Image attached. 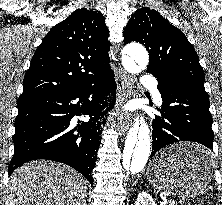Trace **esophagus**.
Segmentation results:
<instances>
[{"mask_svg":"<svg viewBox=\"0 0 222 205\" xmlns=\"http://www.w3.org/2000/svg\"><path fill=\"white\" fill-rule=\"evenodd\" d=\"M131 81H132L131 77L124 71H122L119 77L117 78V89H118L117 111H119L120 113L118 127L122 134H125V132L129 128L130 115L120 112V108L130 99L131 92L128 88V84Z\"/></svg>","mask_w":222,"mask_h":205,"instance_id":"esophagus-1","label":"esophagus"}]
</instances>
